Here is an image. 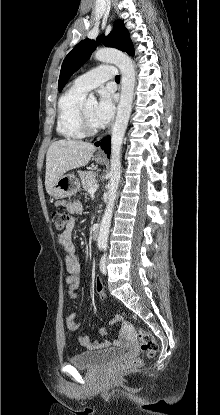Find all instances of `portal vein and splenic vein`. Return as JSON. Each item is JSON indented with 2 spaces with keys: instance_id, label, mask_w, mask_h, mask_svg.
I'll use <instances>...</instances> for the list:
<instances>
[{
  "instance_id": "1",
  "label": "portal vein and splenic vein",
  "mask_w": 220,
  "mask_h": 415,
  "mask_svg": "<svg viewBox=\"0 0 220 415\" xmlns=\"http://www.w3.org/2000/svg\"><path fill=\"white\" fill-rule=\"evenodd\" d=\"M98 185H94L92 188H90L89 193L92 195L97 191Z\"/></svg>"
}]
</instances>
